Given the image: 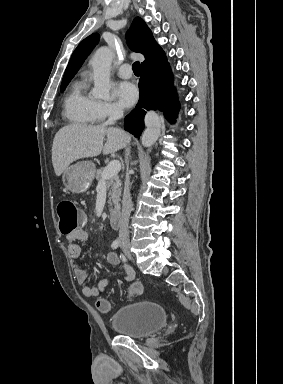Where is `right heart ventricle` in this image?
<instances>
[{
    "label": "right heart ventricle",
    "mask_w": 283,
    "mask_h": 384,
    "mask_svg": "<svg viewBox=\"0 0 283 384\" xmlns=\"http://www.w3.org/2000/svg\"><path fill=\"white\" fill-rule=\"evenodd\" d=\"M85 79L76 76L69 84L63 99V115L75 126L88 127L98 122L97 100L85 90Z\"/></svg>",
    "instance_id": "obj_1"
}]
</instances>
